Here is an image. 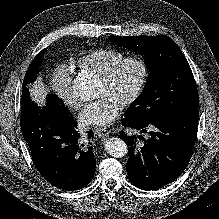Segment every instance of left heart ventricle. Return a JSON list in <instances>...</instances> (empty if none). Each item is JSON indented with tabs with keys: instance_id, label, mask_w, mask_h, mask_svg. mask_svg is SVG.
Wrapping results in <instances>:
<instances>
[{
	"instance_id": "obj_1",
	"label": "left heart ventricle",
	"mask_w": 219,
	"mask_h": 219,
	"mask_svg": "<svg viewBox=\"0 0 219 219\" xmlns=\"http://www.w3.org/2000/svg\"><path fill=\"white\" fill-rule=\"evenodd\" d=\"M139 76V66L135 63H129L122 68L112 83L106 84L100 80L98 96L109 95L122 104L134 90Z\"/></svg>"
}]
</instances>
